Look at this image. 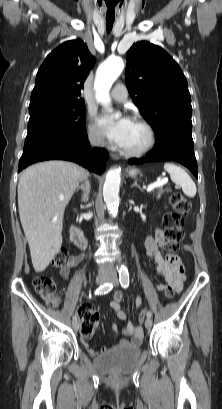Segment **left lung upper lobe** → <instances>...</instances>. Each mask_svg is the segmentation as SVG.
<instances>
[{"mask_svg": "<svg viewBox=\"0 0 222 409\" xmlns=\"http://www.w3.org/2000/svg\"><path fill=\"white\" fill-rule=\"evenodd\" d=\"M125 76L129 94L156 138L170 131L191 133L187 80L167 52L146 41L133 44L127 52Z\"/></svg>", "mask_w": 222, "mask_h": 409, "instance_id": "1", "label": "left lung upper lobe"}]
</instances>
